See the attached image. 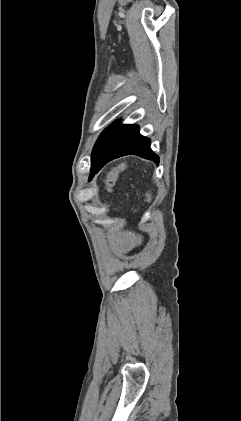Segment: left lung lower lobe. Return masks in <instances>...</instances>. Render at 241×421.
Masks as SVG:
<instances>
[{
	"label": "left lung lower lobe",
	"mask_w": 241,
	"mask_h": 421,
	"mask_svg": "<svg viewBox=\"0 0 241 421\" xmlns=\"http://www.w3.org/2000/svg\"><path fill=\"white\" fill-rule=\"evenodd\" d=\"M131 154L159 164V157L150 148V139L140 135L137 125H119L117 123L101 155L92 164L90 179L109 161Z\"/></svg>",
	"instance_id": "obj_1"
}]
</instances>
